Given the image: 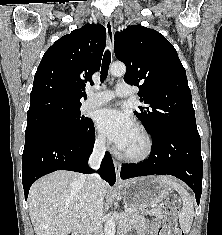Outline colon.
Here are the masks:
<instances>
[{
	"instance_id": "obj_1",
	"label": "colon",
	"mask_w": 222,
	"mask_h": 235,
	"mask_svg": "<svg viewBox=\"0 0 222 235\" xmlns=\"http://www.w3.org/2000/svg\"><path fill=\"white\" fill-rule=\"evenodd\" d=\"M180 203L173 198L166 202L164 214V224L160 230L159 235H183V232L178 228L176 223V214L179 211Z\"/></svg>"
}]
</instances>
